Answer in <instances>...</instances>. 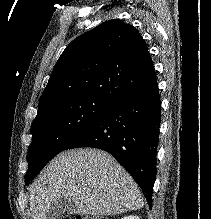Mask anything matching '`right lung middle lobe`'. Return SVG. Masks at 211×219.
<instances>
[{"mask_svg": "<svg viewBox=\"0 0 211 219\" xmlns=\"http://www.w3.org/2000/svg\"><path fill=\"white\" fill-rule=\"evenodd\" d=\"M114 102L100 97L66 100L48 108L32 123L25 184L81 133L93 125Z\"/></svg>", "mask_w": 211, "mask_h": 219, "instance_id": "right-lung-middle-lobe-1", "label": "right lung middle lobe"}]
</instances>
